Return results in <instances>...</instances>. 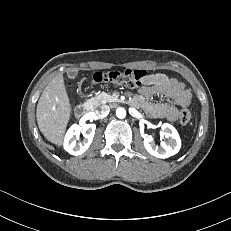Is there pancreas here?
I'll list each match as a JSON object with an SVG mask.
<instances>
[{
  "mask_svg": "<svg viewBox=\"0 0 231 231\" xmlns=\"http://www.w3.org/2000/svg\"><path fill=\"white\" fill-rule=\"evenodd\" d=\"M113 99H114L113 96H111L105 92H102V93L98 94L97 96L93 97L92 101L96 105H99V104H103V103H107V102H112Z\"/></svg>",
  "mask_w": 231,
  "mask_h": 231,
  "instance_id": "cf45deb5",
  "label": "pancreas"
}]
</instances>
